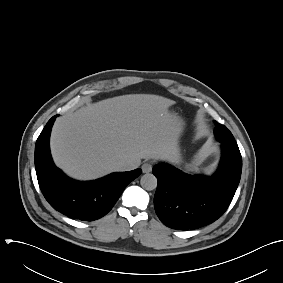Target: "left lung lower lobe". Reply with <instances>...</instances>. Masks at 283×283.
<instances>
[{
    "label": "left lung lower lobe",
    "mask_w": 283,
    "mask_h": 283,
    "mask_svg": "<svg viewBox=\"0 0 283 283\" xmlns=\"http://www.w3.org/2000/svg\"><path fill=\"white\" fill-rule=\"evenodd\" d=\"M221 146L220 165L211 177L188 175L164 163L153 167L158 180L154 206L163 224L193 230L216 221L226 211L240 181L242 157L239 148Z\"/></svg>",
    "instance_id": "0a47b994"
}]
</instances>
